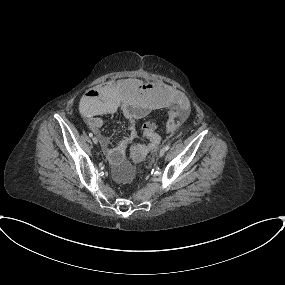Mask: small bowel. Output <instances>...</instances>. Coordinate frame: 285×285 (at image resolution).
Instances as JSON below:
<instances>
[{
	"label": "small bowel",
	"mask_w": 285,
	"mask_h": 285,
	"mask_svg": "<svg viewBox=\"0 0 285 285\" xmlns=\"http://www.w3.org/2000/svg\"><path fill=\"white\" fill-rule=\"evenodd\" d=\"M167 108L168 117L184 122L190 113L191 103L161 82L148 83L139 79L108 81L85 93L80 110L87 125L98 137L102 150L114 168L125 158L126 146L137 138L135 122L147 117L154 109ZM120 112L128 121V134L110 147V137L103 132L102 115ZM172 131V130H169Z\"/></svg>",
	"instance_id": "1"
}]
</instances>
